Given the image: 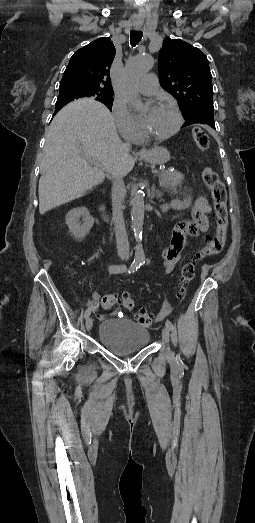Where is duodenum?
Here are the masks:
<instances>
[{
	"instance_id": "obj_1",
	"label": "duodenum",
	"mask_w": 255,
	"mask_h": 523,
	"mask_svg": "<svg viewBox=\"0 0 255 523\" xmlns=\"http://www.w3.org/2000/svg\"><path fill=\"white\" fill-rule=\"evenodd\" d=\"M168 209H169V206H168L167 204H163V205L160 206V212H161V213L166 212ZM100 211H101L102 213H104V208L101 207V208H100Z\"/></svg>"
}]
</instances>
